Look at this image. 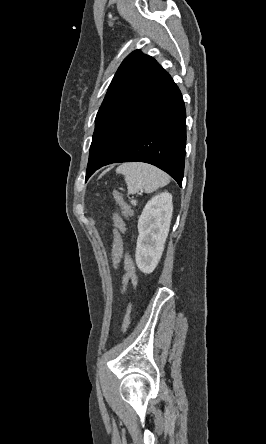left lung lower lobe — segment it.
<instances>
[{
	"label": "left lung lower lobe",
	"mask_w": 266,
	"mask_h": 444,
	"mask_svg": "<svg viewBox=\"0 0 266 444\" xmlns=\"http://www.w3.org/2000/svg\"><path fill=\"white\" fill-rule=\"evenodd\" d=\"M182 95L169 75L144 95L111 115L93 135L86 180L102 166L150 163L182 184L186 146Z\"/></svg>",
	"instance_id": "0a47b994"
}]
</instances>
